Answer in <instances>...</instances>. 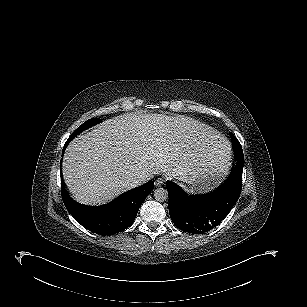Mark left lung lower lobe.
Listing matches in <instances>:
<instances>
[{
    "label": "left lung lower lobe",
    "mask_w": 307,
    "mask_h": 307,
    "mask_svg": "<svg viewBox=\"0 0 307 307\" xmlns=\"http://www.w3.org/2000/svg\"><path fill=\"white\" fill-rule=\"evenodd\" d=\"M243 166L244 160H236L222 185L197 196H188L177 184L167 181L169 214L173 223L192 234H203L219 225L240 195Z\"/></svg>",
    "instance_id": "0a47b994"
}]
</instances>
